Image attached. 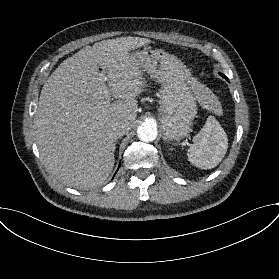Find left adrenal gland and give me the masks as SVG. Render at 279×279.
<instances>
[{"instance_id":"left-adrenal-gland-1","label":"left adrenal gland","mask_w":279,"mask_h":279,"mask_svg":"<svg viewBox=\"0 0 279 279\" xmlns=\"http://www.w3.org/2000/svg\"><path fill=\"white\" fill-rule=\"evenodd\" d=\"M169 150H170V151H173V150H174V148L170 147V148H169Z\"/></svg>"}]
</instances>
